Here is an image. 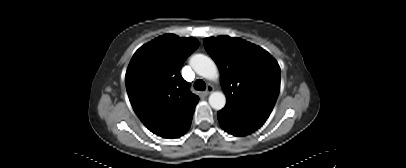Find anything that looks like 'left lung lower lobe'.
<instances>
[{
    "label": "left lung lower lobe",
    "mask_w": 406,
    "mask_h": 168,
    "mask_svg": "<svg viewBox=\"0 0 406 168\" xmlns=\"http://www.w3.org/2000/svg\"><path fill=\"white\" fill-rule=\"evenodd\" d=\"M221 127L235 136L248 135L260 128L266 118L225 106L217 113Z\"/></svg>",
    "instance_id": "0a47b994"
}]
</instances>
